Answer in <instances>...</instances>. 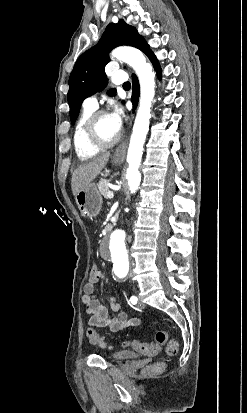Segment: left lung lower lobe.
Here are the masks:
<instances>
[{"mask_svg": "<svg viewBox=\"0 0 247 413\" xmlns=\"http://www.w3.org/2000/svg\"><path fill=\"white\" fill-rule=\"evenodd\" d=\"M148 58L151 60V62L153 63V65H154V68H155V70H156V72H157V75H158V77L160 78L161 77V68H160V65H159V63H158V60L156 59V57H155V55L152 53V54H150L149 56H148ZM132 79H133V95H132V102H133V105H134V107L136 106V104H137V97H138V94H139V82H138V79H137V77L135 76V75H132Z\"/></svg>", "mask_w": 247, "mask_h": 413, "instance_id": "obj_1", "label": "left lung lower lobe"}]
</instances>
